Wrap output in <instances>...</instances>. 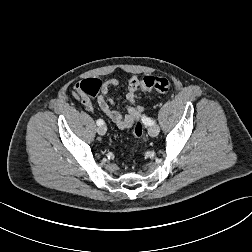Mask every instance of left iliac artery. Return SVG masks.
I'll return each mask as SVG.
<instances>
[{"label":"left iliac artery","mask_w":252,"mask_h":252,"mask_svg":"<svg viewBox=\"0 0 252 252\" xmlns=\"http://www.w3.org/2000/svg\"><path fill=\"white\" fill-rule=\"evenodd\" d=\"M140 119H141V123L145 124L147 126H151V125H154L156 123L155 120L147 118V114L146 113H141L140 114Z\"/></svg>","instance_id":"1"}]
</instances>
